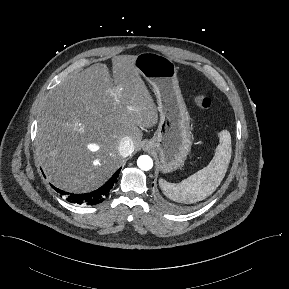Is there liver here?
I'll return each instance as SVG.
<instances>
[{
  "mask_svg": "<svg viewBox=\"0 0 289 289\" xmlns=\"http://www.w3.org/2000/svg\"><path fill=\"white\" fill-rule=\"evenodd\" d=\"M135 56L96 63L53 88L41 109L36 156L48 179L71 193L102 186L121 166L119 143L131 138L139 148L142 130L158 122L149 90L134 66Z\"/></svg>",
  "mask_w": 289,
  "mask_h": 289,
  "instance_id": "obj_1",
  "label": "liver"
}]
</instances>
